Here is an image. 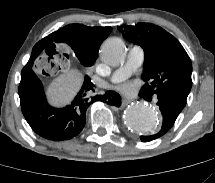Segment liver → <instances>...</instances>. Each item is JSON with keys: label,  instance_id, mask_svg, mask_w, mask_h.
<instances>
[{"label": "liver", "instance_id": "6515ba94", "mask_svg": "<svg viewBox=\"0 0 215 183\" xmlns=\"http://www.w3.org/2000/svg\"><path fill=\"white\" fill-rule=\"evenodd\" d=\"M81 84L82 74L78 70L64 69L47 89L49 101L57 106L68 104L80 89Z\"/></svg>", "mask_w": 215, "mask_h": 183}]
</instances>
